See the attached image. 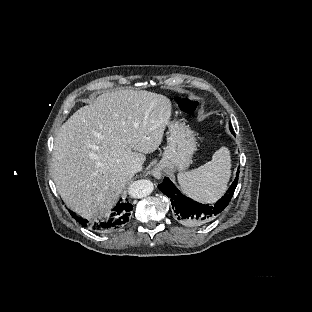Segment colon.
I'll return each mask as SVG.
<instances>
[{"label":"colon","instance_id":"1","mask_svg":"<svg viewBox=\"0 0 312 312\" xmlns=\"http://www.w3.org/2000/svg\"><path fill=\"white\" fill-rule=\"evenodd\" d=\"M176 105L186 114H194L198 107V103L196 101L182 97L176 99Z\"/></svg>","mask_w":312,"mask_h":312}]
</instances>
